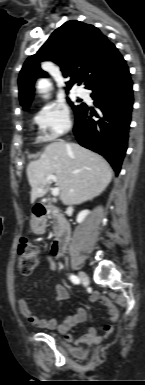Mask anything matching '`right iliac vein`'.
<instances>
[{
    "label": "right iliac vein",
    "mask_w": 145,
    "mask_h": 385,
    "mask_svg": "<svg viewBox=\"0 0 145 385\" xmlns=\"http://www.w3.org/2000/svg\"><path fill=\"white\" fill-rule=\"evenodd\" d=\"M79 278L81 280V282L87 286L89 284V277L87 276V274L85 272H79Z\"/></svg>",
    "instance_id": "1"
}]
</instances>
